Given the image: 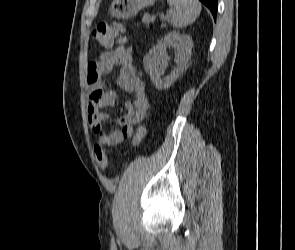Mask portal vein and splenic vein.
Masks as SVG:
<instances>
[{
  "label": "portal vein and splenic vein",
  "instance_id": "portal-vein-and-splenic-vein-1",
  "mask_svg": "<svg viewBox=\"0 0 295 250\" xmlns=\"http://www.w3.org/2000/svg\"><path fill=\"white\" fill-rule=\"evenodd\" d=\"M169 18V16L167 15V16H164V15H160V19L161 20H166V19H168Z\"/></svg>",
  "mask_w": 295,
  "mask_h": 250
}]
</instances>
